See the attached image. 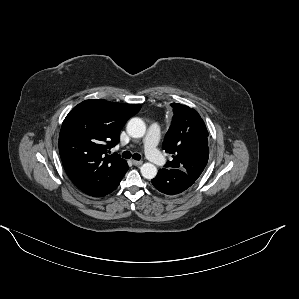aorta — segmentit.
Here are the masks:
<instances>
[{"instance_id": "aorta-1", "label": "aorta", "mask_w": 299, "mask_h": 299, "mask_svg": "<svg viewBox=\"0 0 299 299\" xmlns=\"http://www.w3.org/2000/svg\"><path fill=\"white\" fill-rule=\"evenodd\" d=\"M127 133L133 138H141L145 135L146 125L141 118H132L129 120ZM141 174L146 179H153L157 175V168L152 163H144L140 168Z\"/></svg>"}]
</instances>
